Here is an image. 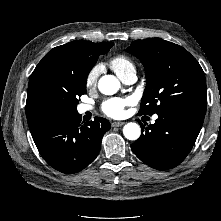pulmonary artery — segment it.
Wrapping results in <instances>:
<instances>
[{"mask_svg": "<svg viewBox=\"0 0 221 221\" xmlns=\"http://www.w3.org/2000/svg\"><path fill=\"white\" fill-rule=\"evenodd\" d=\"M120 79L126 83V84H133L136 79H137V76H136V70L133 68V69H130L129 71H127L124 75H122L120 77ZM92 108L89 106V105H80L78 107V111L80 113H85L86 111H89L91 110ZM158 117L157 116H154L153 118V121H155Z\"/></svg>", "mask_w": 221, "mask_h": 221, "instance_id": "e3ab8cb5", "label": "pulmonary artery"}]
</instances>
